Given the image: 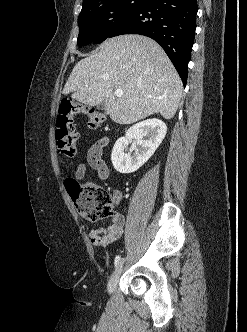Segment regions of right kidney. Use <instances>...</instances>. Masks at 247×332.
Wrapping results in <instances>:
<instances>
[{
  "label": "right kidney",
  "instance_id": "ca27d5eb",
  "mask_svg": "<svg viewBox=\"0 0 247 332\" xmlns=\"http://www.w3.org/2000/svg\"><path fill=\"white\" fill-rule=\"evenodd\" d=\"M166 132L165 123L156 118L133 125L125 136L119 138L114 144L111 153L114 169L123 174L137 171L160 146ZM133 139L135 144L128 151L127 146Z\"/></svg>",
  "mask_w": 247,
  "mask_h": 332
}]
</instances>
